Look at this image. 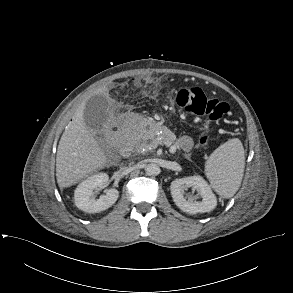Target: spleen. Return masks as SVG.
Here are the masks:
<instances>
[{
    "instance_id": "3e777b00",
    "label": "spleen",
    "mask_w": 293,
    "mask_h": 293,
    "mask_svg": "<svg viewBox=\"0 0 293 293\" xmlns=\"http://www.w3.org/2000/svg\"><path fill=\"white\" fill-rule=\"evenodd\" d=\"M244 155L241 141L234 138L220 145L206 161L205 174L220 196L230 198L238 190L244 172Z\"/></svg>"
}]
</instances>
